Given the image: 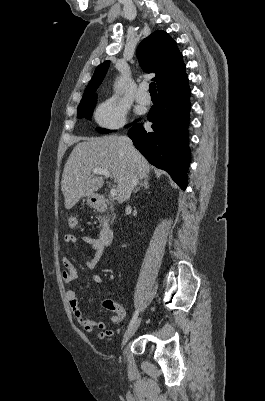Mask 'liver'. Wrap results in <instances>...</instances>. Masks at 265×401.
Returning <instances> with one entry per match:
<instances>
[{"label": "liver", "mask_w": 265, "mask_h": 401, "mask_svg": "<svg viewBox=\"0 0 265 401\" xmlns=\"http://www.w3.org/2000/svg\"><path fill=\"white\" fill-rule=\"evenodd\" d=\"M63 170L61 188L65 209H72L83 196H92L103 186V176H94V168H106L117 182L118 203L125 201L124 188L131 176H148L150 164L146 158L129 146L125 136H80Z\"/></svg>", "instance_id": "6515ba94"}]
</instances>
